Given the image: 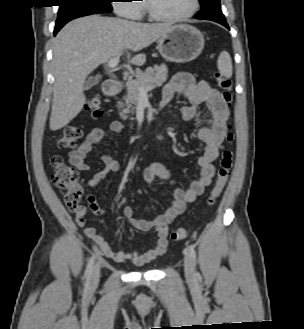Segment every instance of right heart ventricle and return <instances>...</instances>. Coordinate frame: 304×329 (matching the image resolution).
<instances>
[{
	"mask_svg": "<svg viewBox=\"0 0 304 329\" xmlns=\"http://www.w3.org/2000/svg\"><path fill=\"white\" fill-rule=\"evenodd\" d=\"M141 6H142V11H143L145 9V4H142Z\"/></svg>",
	"mask_w": 304,
	"mask_h": 329,
	"instance_id": "obj_1",
	"label": "right heart ventricle"
}]
</instances>
